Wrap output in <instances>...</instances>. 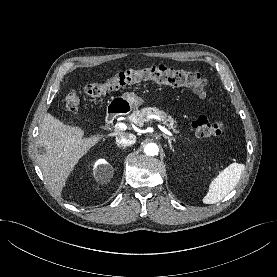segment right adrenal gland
<instances>
[{
    "label": "right adrenal gland",
    "mask_w": 277,
    "mask_h": 277,
    "mask_svg": "<svg viewBox=\"0 0 277 277\" xmlns=\"http://www.w3.org/2000/svg\"><path fill=\"white\" fill-rule=\"evenodd\" d=\"M116 145H117L119 148H123V149H125V148H126L125 146L120 145V144H118V143H116Z\"/></svg>",
    "instance_id": "2a0ac1e0"
}]
</instances>
